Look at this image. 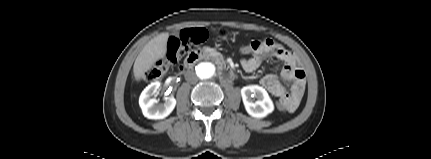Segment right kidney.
Returning a JSON list of instances; mask_svg holds the SVG:
<instances>
[{
    "instance_id": "right-kidney-1",
    "label": "right kidney",
    "mask_w": 431,
    "mask_h": 159,
    "mask_svg": "<svg viewBox=\"0 0 431 159\" xmlns=\"http://www.w3.org/2000/svg\"><path fill=\"white\" fill-rule=\"evenodd\" d=\"M159 81L153 82L148 85L139 97V105L143 115L148 119H164L167 117L176 106V99L169 97L167 100L159 104L158 100L152 98L160 88Z\"/></svg>"
}]
</instances>
